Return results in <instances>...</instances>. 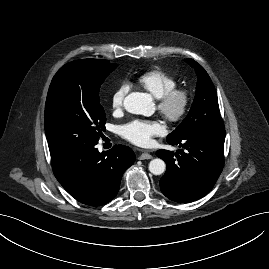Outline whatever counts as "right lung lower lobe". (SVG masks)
<instances>
[{
    "label": "right lung lower lobe",
    "mask_w": 269,
    "mask_h": 269,
    "mask_svg": "<svg viewBox=\"0 0 269 269\" xmlns=\"http://www.w3.org/2000/svg\"><path fill=\"white\" fill-rule=\"evenodd\" d=\"M95 145L52 158V168L57 180L76 200L101 206L117 195L122 175L134 163L135 154L124 145L99 153Z\"/></svg>",
    "instance_id": "98d812e1"
}]
</instances>
